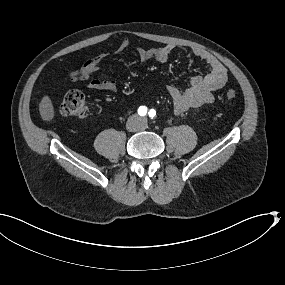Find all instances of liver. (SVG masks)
I'll return each instance as SVG.
<instances>
[{"label": "liver", "instance_id": "6515ba94", "mask_svg": "<svg viewBox=\"0 0 285 285\" xmlns=\"http://www.w3.org/2000/svg\"><path fill=\"white\" fill-rule=\"evenodd\" d=\"M39 112L41 118L45 121H50L54 117V108L51 99L48 96H44L39 104Z\"/></svg>", "mask_w": 285, "mask_h": 285}]
</instances>
